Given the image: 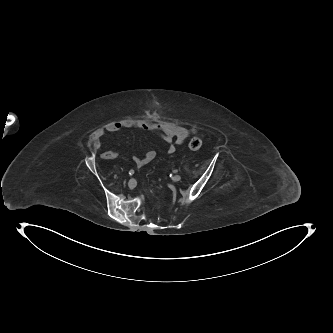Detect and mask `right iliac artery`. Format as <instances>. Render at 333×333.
Instances as JSON below:
<instances>
[{
	"mask_svg": "<svg viewBox=\"0 0 333 333\" xmlns=\"http://www.w3.org/2000/svg\"><path fill=\"white\" fill-rule=\"evenodd\" d=\"M133 174H134V170L131 169V170L129 171V175L132 176Z\"/></svg>",
	"mask_w": 333,
	"mask_h": 333,
	"instance_id": "82829eb1",
	"label": "right iliac artery"
}]
</instances>
